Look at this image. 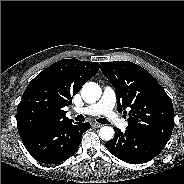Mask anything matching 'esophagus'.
<instances>
[{
  "mask_svg": "<svg viewBox=\"0 0 184 184\" xmlns=\"http://www.w3.org/2000/svg\"><path fill=\"white\" fill-rule=\"evenodd\" d=\"M93 126L96 127V128H99V127L102 126V124H99V123H96V122H95V123H93Z\"/></svg>",
  "mask_w": 184,
  "mask_h": 184,
  "instance_id": "34e87169",
  "label": "esophagus"
}]
</instances>
